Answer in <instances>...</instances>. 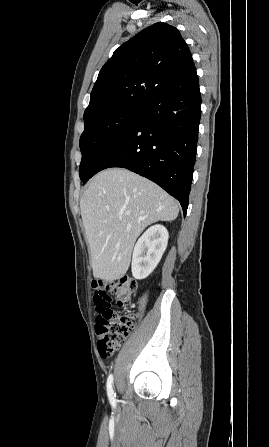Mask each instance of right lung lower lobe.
<instances>
[{
    "instance_id": "1",
    "label": "right lung lower lobe",
    "mask_w": 269,
    "mask_h": 447,
    "mask_svg": "<svg viewBox=\"0 0 269 447\" xmlns=\"http://www.w3.org/2000/svg\"><path fill=\"white\" fill-rule=\"evenodd\" d=\"M143 104L144 112L138 121L93 164L87 180L106 168L129 169L175 197L185 215L201 117V94L194 64Z\"/></svg>"
}]
</instances>
